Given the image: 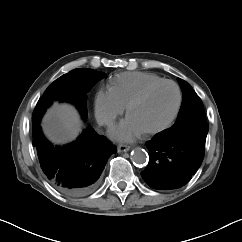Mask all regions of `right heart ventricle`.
Wrapping results in <instances>:
<instances>
[{
	"mask_svg": "<svg viewBox=\"0 0 242 242\" xmlns=\"http://www.w3.org/2000/svg\"><path fill=\"white\" fill-rule=\"evenodd\" d=\"M163 80L162 77L148 72H125L110 80V90L118 100L127 106L147 86Z\"/></svg>",
	"mask_w": 242,
	"mask_h": 242,
	"instance_id": "e07e8e85",
	"label": "right heart ventricle"
}]
</instances>
